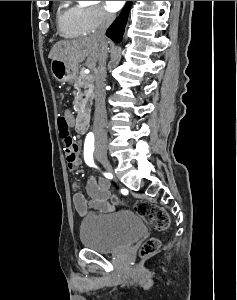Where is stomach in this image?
I'll use <instances>...</instances> for the list:
<instances>
[{"mask_svg": "<svg viewBox=\"0 0 237 300\" xmlns=\"http://www.w3.org/2000/svg\"><path fill=\"white\" fill-rule=\"evenodd\" d=\"M50 69L54 79L62 83H74L78 77V65H68L59 59H52Z\"/></svg>", "mask_w": 237, "mask_h": 300, "instance_id": "1", "label": "stomach"}]
</instances>
